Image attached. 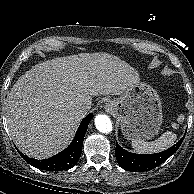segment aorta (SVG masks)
I'll list each match as a JSON object with an SVG mask.
<instances>
[{
	"instance_id": "762f6f07",
	"label": "aorta",
	"mask_w": 194,
	"mask_h": 194,
	"mask_svg": "<svg viewBox=\"0 0 194 194\" xmlns=\"http://www.w3.org/2000/svg\"><path fill=\"white\" fill-rule=\"evenodd\" d=\"M95 126L98 131L108 133L112 131V122L107 115L99 114L95 117Z\"/></svg>"
}]
</instances>
